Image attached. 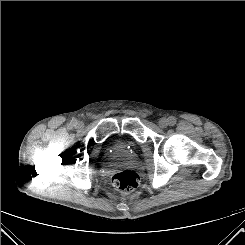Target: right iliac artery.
Here are the masks:
<instances>
[{
	"label": "right iliac artery",
	"mask_w": 245,
	"mask_h": 245,
	"mask_svg": "<svg viewBox=\"0 0 245 245\" xmlns=\"http://www.w3.org/2000/svg\"><path fill=\"white\" fill-rule=\"evenodd\" d=\"M76 123H77V121L75 119H72L71 122H70V124H69V127L76 126Z\"/></svg>",
	"instance_id": "1"
}]
</instances>
